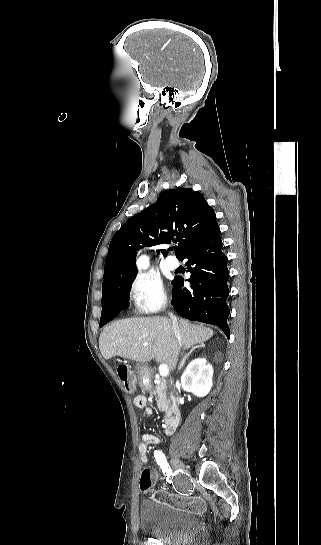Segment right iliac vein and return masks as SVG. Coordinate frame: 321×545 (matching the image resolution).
Listing matches in <instances>:
<instances>
[{
    "label": "right iliac vein",
    "mask_w": 321,
    "mask_h": 545,
    "mask_svg": "<svg viewBox=\"0 0 321 545\" xmlns=\"http://www.w3.org/2000/svg\"><path fill=\"white\" fill-rule=\"evenodd\" d=\"M171 464H172L173 469H175L176 471L186 472L184 464L176 456H173L171 458Z\"/></svg>",
    "instance_id": "1"
}]
</instances>
